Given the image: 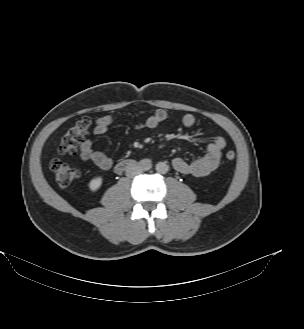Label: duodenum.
Masks as SVG:
<instances>
[{
  "label": "duodenum",
  "mask_w": 304,
  "mask_h": 329,
  "mask_svg": "<svg viewBox=\"0 0 304 329\" xmlns=\"http://www.w3.org/2000/svg\"><path fill=\"white\" fill-rule=\"evenodd\" d=\"M135 167H137V164L133 160L125 159L117 163L115 166V171L117 173H122L126 170L134 169Z\"/></svg>",
  "instance_id": "1"
}]
</instances>
